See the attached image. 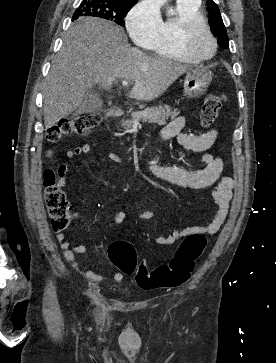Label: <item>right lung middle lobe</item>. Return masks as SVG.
I'll return each mask as SVG.
<instances>
[{"label":"right lung middle lobe","instance_id":"obj_1","mask_svg":"<svg viewBox=\"0 0 276 363\" xmlns=\"http://www.w3.org/2000/svg\"><path fill=\"white\" fill-rule=\"evenodd\" d=\"M135 3L115 0H83L73 14V20L83 16L104 18L124 26V17Z\"/></svg>","mask_w":276,"mask_h":363}]
</instances>
